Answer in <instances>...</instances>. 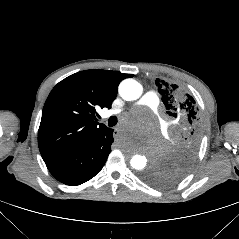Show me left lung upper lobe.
Listing matches in <instances>:
<instances>
[{"instance_id": "left-lung-upper-lobe-1", "label": "left lung upper lobe", "mask_w": 239, "mask_h": 239, "mask_svg": "<svg viewBox=\"0 0 239 239\" xmlns=\"http://www.w3.org/2000/svg\"><path fill=\"white\" fill-rule=\"evenodd\" d=\"M158 92L166 107L172 142L164 159L144 173L143 179L156 187H169L180 181L192 168L201 136V121L192 96L176 84L156 79Z\"/></svg>"}]
</instances>
